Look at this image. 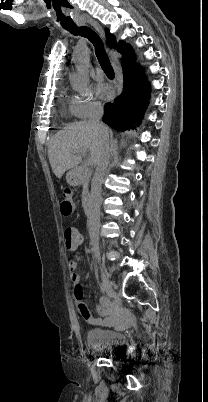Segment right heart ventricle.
Segmentation results:
<instances>
[{"instance_id": "e07e8e85", "label": "right heart ventricle", "mask_w": 208, "mask_h": 402, "mask_svg": "<svg viewBox=\"0 0 208 402\" xmlns=\"http://www.w3.org/2000/svg\"><path fill=\"white\" fill-rule=\"evenodd\" d=\"M61 100H62L63 103L65 102V92L64 91H62V93H61ZM69 108H70L71 111H73V105L70 104Z\"/></svg>"}]
</instances>
